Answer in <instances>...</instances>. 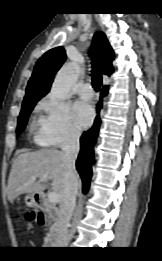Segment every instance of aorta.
I'll list each match as a JSON object with an SVG mask.
<instances>
[{
    "label": "aorta",
    "instance_id": "obj_1",
    "mask_svg": "<svg viewBox=\"0 0 162 261\" xmlns=\"http://www.w3.org/2000/svg\"><path fill=\"white\" fill-rule=\"evenodd\" d=\"M76 63L64 65L56 74L51 92L59 100L67 99L72 85L76 81Z\"/></svg>",
    "mask_w": 162,
    "mask_h": 261
}]
</instances>
